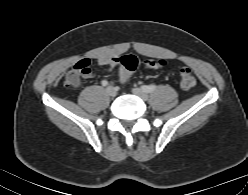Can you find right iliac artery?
Returning <instances> with one entry per match:
<instances>
[{"instance_id":"82829eb1","label":"right iliac artery","mask_w":248,"mask_h":195,"mask_svg":"<svg viewBox=\"0 0 248 195\" xmlns=\"http://www.w3.org/2000/svg\"><path fill=\"white\" fill-rule=\"evenodd\" d=\"M101 84H102L103 86H107V85H108V82H107L106 80H103V81L101 82Z\"/></svg>"}]
</instances>
